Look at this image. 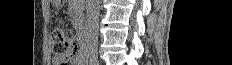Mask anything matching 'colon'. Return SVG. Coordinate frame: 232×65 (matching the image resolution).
<instances>
[{
  "mask_svg": "<svg viewBox=\"0 0 232 65\" xmlns=\"http://www.w3.org/2000/svg\"><path fill=\"white\" fill-rule=\"evenodd\" d=\"M52 53L54 61L59 65H68L77 53V46L61 28H56L52 35Z\"/></svg>",
  "mask_w": 232,
  "mask_h": 65,
  "instance_id": "colon-1",
  "label": "colon"
}]
</instances>
